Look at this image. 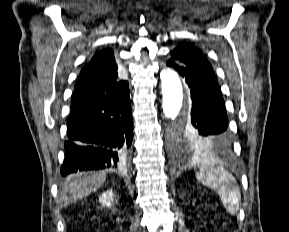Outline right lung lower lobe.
Masks as SVG:
<instances>
[{"label":"right lung lower lobe","instance_id":"obj_1","mask_svg":"<svg viewBox=\"0 0 289 232\" xmlns=\"http://www.w3.org/2000/svg\"><path fill=\"white\" fill-rule=\"evenodd\" d=\"M62 176L123 166L133 138L129 90L100 102L72 107Z\"/></svg>","mask_w":289,"mask_h":232}]
</instances>
